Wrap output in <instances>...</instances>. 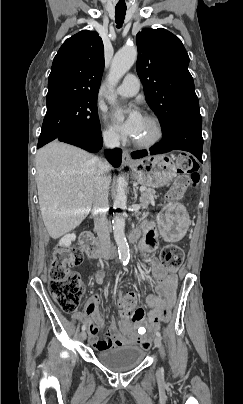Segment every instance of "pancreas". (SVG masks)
Instances as JSON below:
<instances>
[{
	"label": "pancreas",
	"mask_w": 243,
	"mask_h": 404,
	"mask_svg": "<svg viewBox=\"0 0 243 404\" xmlns=\"http://www.w3.org/2000/svg\"><path fill=\"white\" fill-rule=\"evenodd\" d=\"M143 188H147V190H144V192H142L140 202L142 210H146L147 206L151 204V200H153V198H157V196H154L155 192H153L150 186H144Z\"/></svg>",
	"instance_id": "1"
}]
</instances>
